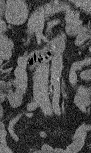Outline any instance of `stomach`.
I'll return each instance as SVG.
<instances>
[{"instance_id":"obj_1","label":"stomach","mask_w":91,"mask_h":153,"mask_svg":"<svg viewBox=\"0 0 91 153\" xmlns=\"http://www.w3.org/2000/svg\"><path fill=\"white\" fill-rule=\"evenodd\" d=\"M76 4L81 5V6H87L90 4V1H86V0H76L74 1Z\"/></svg>"}]
</instances>
